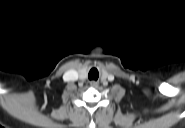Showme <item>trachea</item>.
<instances>
[{"label": "trachea", "mask_w": 185, "mask_h": 128, "mask_svg": "<svg viewBox=\"0 0 185 128\" xmlns=\"http://www.w3.org/2000/svg\"><path fill=\"white\" fill-rule=\"evenodd\" d=\"M99 77V72L96 68H92L88 73L89 80H97Z\"/></svg>", "instance_id": "3493384b"}]
</instances>
